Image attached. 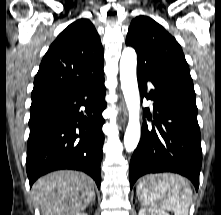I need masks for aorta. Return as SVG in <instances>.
<instances>
[{
    "instance_id": "1",
    "label": "aorta",
    "mask_w": 221,
    "mask_h": 215,
    "mask_svg": "<svg viewBox=\"0 0 221 215\" xmlns=\"http://www.w3.org/2000/svg\"><path fill=\"white\" fill-rule=\"evenodd\" d=\"M137 55L133 48H124L120 59V81L129 112V121L124 135V147L132 152L140 139V96L136 76Z\"/></svg>"
}]
</instances>
